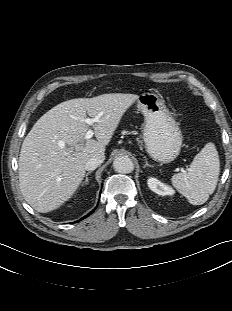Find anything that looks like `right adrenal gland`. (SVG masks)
<instances>
[{
	"label": "right adrenal gland",
	"mask_w": 232,
	"mask_h": 311,
	"mask_svg": "<svg viewBox=\"0 0 232 311\" xmlns=\"http://www.w3.org/2000/svg\"><path fill=\"white\" fill-rule=\"evenodd\" d=\"M89 174H91V172H87V173H86L85 181L83 182L82 185H86V184L89 183V179H88V175H89Z\"/></svg>",
	"instance_id": "2a0ac1e0"
}]
</instances>
